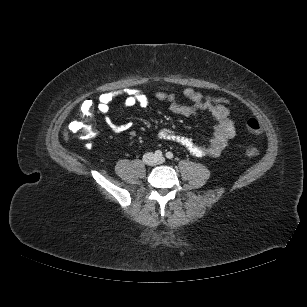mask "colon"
<instances>
[{"label":"colon","mask_w":307,"mask_h":307,"mask_svg":"<svg viewBox=\"0 0 307 307\" xmlns=\"http://www.w3.org/2000/svg\"><path fill=\"white\" fill-rule=\"evenodd\" d=\"M205 99L217 105H226L228 103V100L224 97H209ZM93 115L94 102L90 99L86 100L81 106L79 118L71 123L70 129L73 132L80 133L83 138L89 141L92 140L97 134L96 128L92 122ZM247 128L256 135L262 133L261 124L255 118H251L247 121ZM259 153V149L254 146H248L245 149V154L249 157L258 156Z\"/></svg>","instance_id":"1"}]
</instances>
